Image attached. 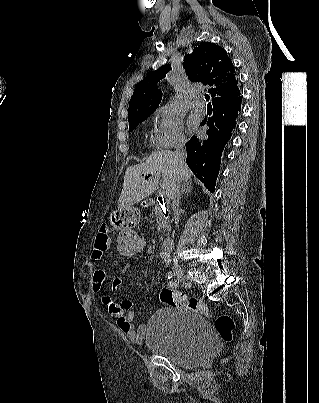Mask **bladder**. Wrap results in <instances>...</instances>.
Instances as JSON below:
<instances>
[{
	"instance_id": "31cf9c89",
	"label": "bladder",
	"mask_w": 319,
	"mask_h": 403,
	"mask_svg": "<svg viewBox=\"0 0 319 403\" xmlns=\"http://www.w3.org/2000/svg\"><path fill=\"white\" fill-rule=\"evenodd\" d=\"M146 327V346L155 355L183 367L205 364L220 346L207 320L185 309H158Z\"/></svg>"
}]
</instances>
